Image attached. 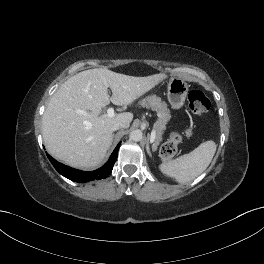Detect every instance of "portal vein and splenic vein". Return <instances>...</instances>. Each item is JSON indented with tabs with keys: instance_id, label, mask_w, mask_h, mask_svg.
I'll list each match as a JSON object with an SVG mask.
<instances>
[{
	"instance_id": "obj_1",
	"label": "portal vein and splenic vein",
	"mask_w": 264,
	"mask_h": 264,
	"mask_svg": "<svg viewBox=\"0 0 264 264\" xmlns=\"http://www.w3.org/2000/svg\"><path fill=\"white\" fill-rule=\"evenodd\" d=\"M114 115H115L114 109L113 108H109L107 110V116L108 117H113ZM155 137H156V130H155V126H154V129L151 132V141H154Z\"/></svg>"
}]
</instances>
